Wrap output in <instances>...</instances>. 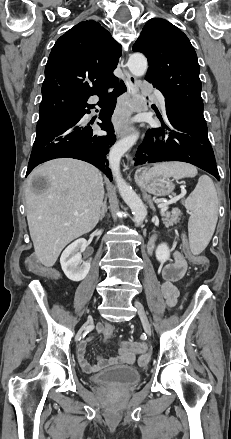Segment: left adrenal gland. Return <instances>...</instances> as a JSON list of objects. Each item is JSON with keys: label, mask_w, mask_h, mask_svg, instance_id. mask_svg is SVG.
<instances>
[{"label": "left adrenal gland", "mask_w": 231, "mask_h": 439, "mask_svg": "<svg viewBox=\"0 0 231 439\" xmlns=\"http://www.w3.org/2000/svg\"><path fill=\"white\" fill-rule=\"evenodd\" d=\"M143 197L147 200V202H148L150 208L153 210V212H155V206H154V203H153L151 197L149 195H147L145 192L143 193Z\"/></svg>", "instance_id": "left-adrenal-gland-1"}]
</instances>
